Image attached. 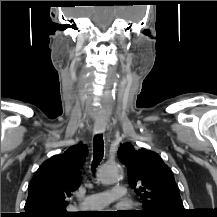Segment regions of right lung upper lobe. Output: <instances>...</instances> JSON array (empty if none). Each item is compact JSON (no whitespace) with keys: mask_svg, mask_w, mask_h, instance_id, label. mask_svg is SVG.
I'll return each mask as SVG.
<instances>
[{"mask_svg":"<svg viewBox=\"0 0 217 217\" xmlns=\"http://www.w3.org/2000/svg\"><path fill=\"white\" fill-rule=\"evenodd\" d=\"M87 153L85 145H74L45 161L30 181L23 217L71 215L68 199L80 186L79 169Z\"/></svg>","mask_w":217,"mask_h":217,"instance_id":"obj_1","label":"right lung upper lobe"}]
</instances>
